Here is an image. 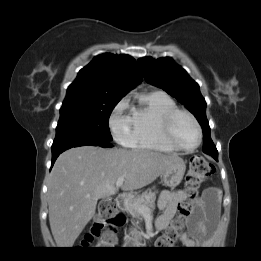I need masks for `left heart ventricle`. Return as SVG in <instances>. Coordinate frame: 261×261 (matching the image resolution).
Returning a JSON list of instances; mask_svg holds the SVG:
<instances>
[{
	"label": "left heart ventricle",
	"mask_w": 261,
	"mask_h": 261,
	"mask_svg": "<svg viewBox=\"0 0 261 261\" xmlns=\"http://www.w3.org/2000/svg\"><path fill=\"white\" fill-rule=\"evenodd\" d=\"M174 135L177 142L187 148L193 147L198 141V132L192 120L181 115L174 124Z\"/></svg>",
	"instance_id": "left-heart-ventricle-1"
}]
</instances>
